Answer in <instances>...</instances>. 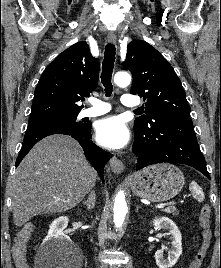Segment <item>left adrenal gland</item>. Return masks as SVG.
<instances>
[{
    "instance_id": "obj_1",
    "label": "left adrenal gland",
    "mask_w": 221,
    "mask_h": 268,
    "mask_svg": "<svg viewBox=\"0 0 221 268\" xmlns=\"http://www.w3.org/2000/svg\"><path fill=\"white\" fill-rule=\"evenodd\" d=\"M139 209H140V206L139 205H136V212L137 213H138Z\"/></svg>"
}]
</instances>
